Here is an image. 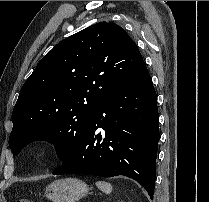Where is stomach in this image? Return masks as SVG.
<instances>
[{
	"instance_id": "obj_1",
	"label": "stomach",
	"mask_w": 209,
	"mask_h": 202,
	"mask_svg": "<svg viewBox=\"0 0 209 202\" xmlns=\"http://www.w3.org/2000/svg\"><path fill=\"white\" fill-rule=\"evenodd\" d=\"M88 192L87 184L76 178L59 179L45 188V196L52 202H76Z\"/></svg>"
}]
</instances>
